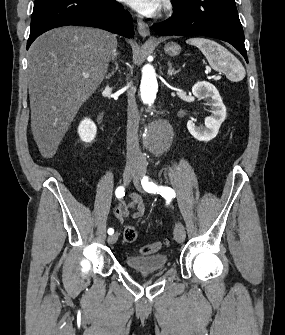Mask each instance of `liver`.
Listing matches in <instances>:
<instances>
[{"mask_svg":"<svg viewBox=\"0 0 285 335\" xmlns=\"http://www.w3.org/2000/svg\"><path fill=\"white\" fill-rule=\"evenodd\" d=\"M116 46L110 32L66 26L45 32L28 50L31 130L43 158L55 156L81 106L102 84Z\"/></svg>","mask_w":285,"mask_h":335,"instance_id":"liver-1","label":"liver"}]
</instances>
